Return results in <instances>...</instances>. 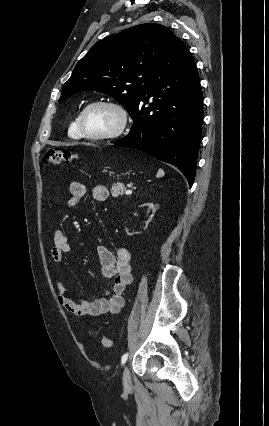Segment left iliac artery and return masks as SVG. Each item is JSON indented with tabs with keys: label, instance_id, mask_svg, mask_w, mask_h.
<instances>
[{
	"label": "left iliac artery",
	"instance_id": "44dca946",
	"mask_svg": "<svg viewBox=\"0 0 269 426\" xmlns=\"http://www.w3.org/2000/svg\"><path fill=\"white\" fill-rule=\"evenodd\" d=\"M128 359V353H125L121 358V364L123 365Z\"/></svg>",
	"mask_w": 269,
	"mask_h": 426
}]
</instances>
